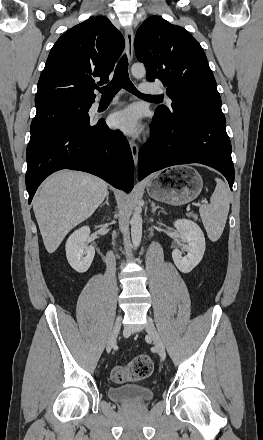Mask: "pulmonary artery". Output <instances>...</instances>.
Returning <instances> with one entry per match:
<instances>
[{
  "mask_svg": "<svg viewBox=\"0 0 263 440\" xmlns=\"http://www.w3.org/2000/svg\"><path fill=\"white\" fill-rule=\"evenodd\" d=\"M139 91L144 94H161L162 89L156 86L153 87H147L144 84L139 85ZM166 100L168 103H171V99L169 97H166ZM98 107V103H95L93 106V109H96Z\"/></svg>",
  "mask_w": 263,
  "mask_h": 440,
  "instance_id": "obj_1",
  "label": "pulmonary artery"
}]
</instances>
